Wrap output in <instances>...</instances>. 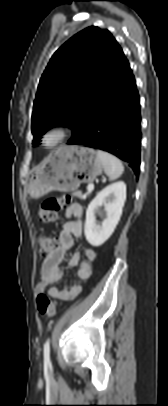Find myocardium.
I'll list each match as a JSON object with an SVG mask.
<instances>
[{"label": "myocardium", "mask_w": 168, "mask_h": 406, "mask_svg": "<svg viewBox=\"0 0 168 406\" xmlns=\"http://www.w3.org/2000/svg\"><path fill=\"white\" fill-rule=\"evenodd\" d=\"M68 136V130L60 125L48 128L41 136V143L46 149H54L59 146ZM53 137L52 142H48V138Z\"/></svg>", "instance_id": "myocardium-1"}]
</instances>
